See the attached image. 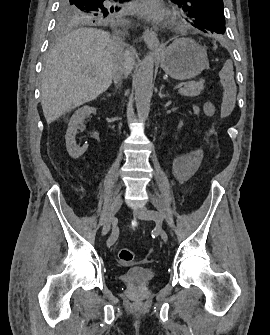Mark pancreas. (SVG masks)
<instances>
[{
    "label": "pancreas",
    "instance_id": "1",
    "mask_svg": "<svg viewBox=\"0 0 270 335\" xmlns=\"http://www.w3.org/2000/svg\"><path fill=\"white\" fill-rule=\"evenodd\" d=\"M204 82L205 80H200V82H186L183 88L180 87L179 94H181V96H191V98L199 96L200 92L204 90Z\"/></svg>",
    "mask_w": 270,
    "mask_h": 335
}]
</instances>
